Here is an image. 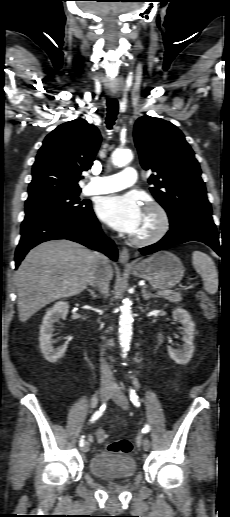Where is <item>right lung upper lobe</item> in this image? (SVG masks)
<instances>
[{"instance_id": "right-lung-upper-lobe-1", "label": "right lung upper lobe", "mask_w": 230, "mask_h": 517, "mask_svg": "<svg viewBox=\"0 0 230 517\" xmlns=\"http://www.w3.org/2000/svg\"><path fill=\"white\" fill-rule=\"evenodd\" d=\"M100 142L99 130L86 120L58 126L38 151L26 201L80 191L81 172L91 168Z\"/></svg>"}]
</instances>
